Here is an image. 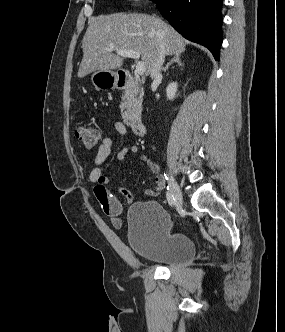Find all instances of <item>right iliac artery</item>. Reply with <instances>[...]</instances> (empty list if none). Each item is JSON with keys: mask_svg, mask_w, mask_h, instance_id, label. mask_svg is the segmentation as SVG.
Returning a JSON list of instances; mask_svg holds the SVG:
<instances>
[{"mask_svg": "<svg viewBox=\"0 0 285 332\" xmlns=\"http://www.w3.org/2000/svg\"><path fill=\"white\" fill-rule=\"evenodd\" d=\"M166 180H168L167 177H166ZM166 198H167V201H168L169 205L173 206L174 203H175V199H174L172 193L170 192L168 186H167Z\"/></svg>", "mask_w": 285, "mask_h": 332, "instance_id": "obj_1", "label": "right iliac artery"}]
</instances>
